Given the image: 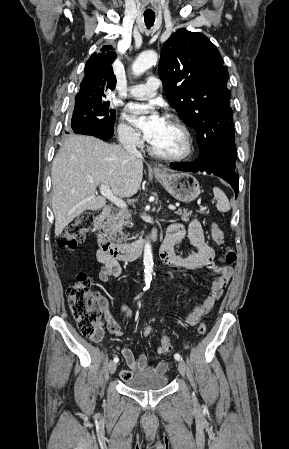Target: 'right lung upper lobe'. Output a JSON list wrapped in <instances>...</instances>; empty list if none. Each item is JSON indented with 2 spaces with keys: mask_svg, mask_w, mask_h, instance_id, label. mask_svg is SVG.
Here are the masks:
<instances>
[{
  "mask_svg": "<svg viewBox=\"0 0 289 449\" xmlns=\"http://www.w3.org/2000/svg\"><path fill=\"white\" fill-rule=\"evenodd\" d=\"M112 46H103L102 53H93L85 66V77L80 84L79 93H95L115 88L116 79L111 64L116 58ZM107 51V53H105Z\"/></svg>",
  "mask_w": 289,
  "mask_h": 449,
  "instance_id": "cb5924a9",
  "label": "right lung upper lobe"
}]
</instances>
